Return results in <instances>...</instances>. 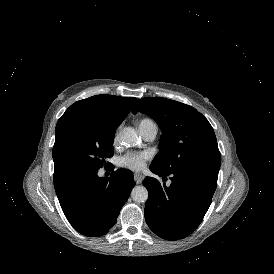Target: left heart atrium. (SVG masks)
<instances>
[{
	"label": "left heart atrium",
	"mask_w": 274,
	"mask_h": 274,
	"mask_svg": "<svg viewBox=\"0 0 274 274\" xmlns=\"http://www.w3.org/2000/svg\"><path fill=\"white\" fill-rule=\"evenodd\" d=\"M148 156L145 153H134L119 159V165L132 170H140L144 167Z\"/></svg>",
	"instance_id": "left-heart-atrium-1"
}]
</instances>
